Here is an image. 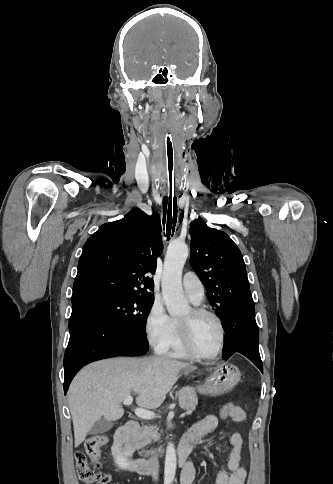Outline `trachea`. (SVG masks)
<instances>
[{
	"label": "trachea",
	"instance_id": "trachea-1",
	"mask_svg": "<svg viewBox=\"0 0 333 484\" xmlns=\"http://www.w3.org/2000/svg\"><path fill=\"white\" fill-rule=\"evenodd\" d=\"M175 134L172 130L167 129L162 133V143L160 151L165 159V175H166V190L163 198V226L166 227L167 239L174 234L175 225L177 222V198L175 194L177 192L176 183V151L174 150ZM165 235V233H164Z\"/></svg>",
	"mask_w": 333,
	"mask_h": 484
}]
</instances>
